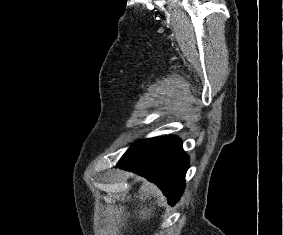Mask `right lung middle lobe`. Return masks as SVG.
Returning a JSON list of instances; mask_svg holds the SVG:
<instances>
[{
  "label": "right lung middle lobe",
  "mask_w": 283,
  "mask_h": 235,
  "mask_svg": "<svg viewBox=\"0 0 283 235\" xmlns=\"http://www.w3.org/2000/svg\"><path fill=\"white\" fill-rule=\"evenodd\" d=\"M161 141V138H152L140 141L134 144L121 158L119 162L134 161L135 159L143 156L152 147Z\"/></svg>",
  "instance_id": "dd1d6c3e"
}]
</instances>
